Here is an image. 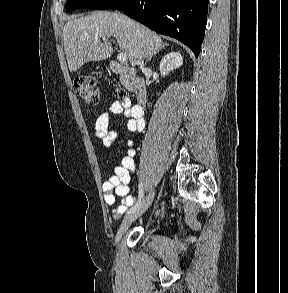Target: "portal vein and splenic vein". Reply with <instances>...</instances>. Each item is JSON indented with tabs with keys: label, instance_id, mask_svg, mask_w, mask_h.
Segmentation results:
<instances>
[{
	"label": "portal vein and splenic vein",
	"instance_id": "portal-vein-and-splenic-vein-1",
	"mask_svg": "<svg viewBox=\"0 0 288 293\" xmlns=\"http://www.w3.org/2000/svg\"><path fill=\"white\" fill-rule=\"evenodd\" d=\"M103 41L106 43V42H108V39L107 38H103ZM117 59L120 62H126L127 59H128V57H127V55L125 53H119L117 55Z\"/></svg>",
	"mask_w": 288,
	"mask_h": 293
}]
</instances>
